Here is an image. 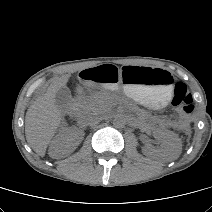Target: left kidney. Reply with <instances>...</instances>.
Here are the masks:
<instances>
[{
    "mask_svg": "<svg viewBox=\"0 0 212 212\" xmlns=\"http://www.w3.org/2000/svg\"><path fill=\"white\" fill-rule=\"evenodd\" d=\"M155 138L161 140L162 144L158 152L166 161H172L179 157L181 153V141L177 134L167 129L158 128L154 132ZM145 155H151L154 151L153 148L145 146L142 149Z\"/></svg>",
    "mask_w": 212,
    "mask_h": 212,
    "instance_id": "1",
    "label": "left kidney"
}]
</instances>
